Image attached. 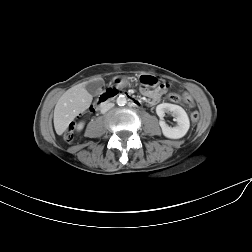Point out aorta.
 Returning a JSON list of instances; mask_svg holds the SVG:
<instances>
[{"instance_id":"762f6f07","label":"aorta","mask_w":252,"mask_h":252,"mask_svg":"<svg viewBox=\"0 0 252 252\" xmlns=\"http://www.w3.org/2000/svg\"><path fill=\"white\" fill-rule=\"evenodd\" d=\"M117 104L119 106H124L127 103V99L124 95H120L117 100H116Z\"/></svg>"}]
</instances>
